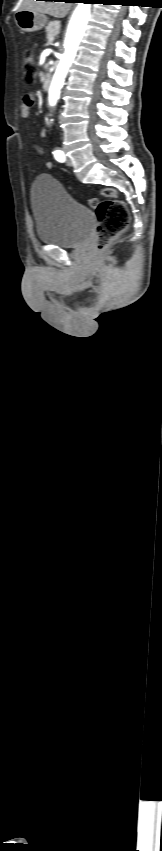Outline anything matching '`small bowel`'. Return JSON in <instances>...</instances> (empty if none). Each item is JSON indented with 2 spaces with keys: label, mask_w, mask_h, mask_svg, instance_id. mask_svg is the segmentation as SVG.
Wrapping results in <instances>:
<instances>
[{
  "label": "small bowel",
  "mask_w": 162,
  "mask_h": 851,
  "mask_svg": "<svg viewBox=\"0 0 162 851\" xmlns=\"http://www.w3.org/2000/svg\"><path fill=\"white\" fill-rule=\"evenodd\" d=\"M33 104H34V96L32 94H27L23 98L22 103H21V107H20V116L23 119L29 118L30 110H31ZM44 135H45V131H42L41 136H44ZM39 151L42 152L40 149H39ZM45 165L48 168H50V167H52L53 164H52L51 161H46Z\"/></svg>",
  "instance_id": "small-bowel-1"
}]
</instances>
